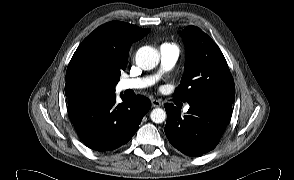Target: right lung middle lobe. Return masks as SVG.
Here are the masks:
<instances>
[{"label": "right lung middle lobe", "instance_id": "right-lung-middle-lobe-1", "mask_svg": "<svg viewBox=\"0 0 294 180\" xmlns=\"http://www.w3.org/2000/svg\"><path fill=\"white\" fill-rule=\"evenodd\" d=\"M120 75L121 72L107 69L92 61H85L71 76V93L79 100L112 93Z\"/></svg>", "mask_w": 294, "mask_h": 180}]
</instances>
